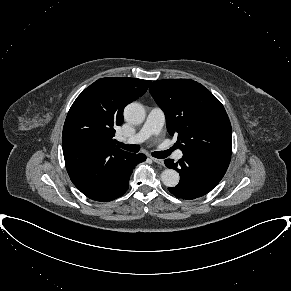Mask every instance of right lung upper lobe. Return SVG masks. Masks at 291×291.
I'll list each match as a JSON object with an SVG mask.
<instances>
[{"label": "right lung upper lobe", "instance_id": "obj_1", "mask_svg": "<svg viewBox=\"0 0 291 291\" xmlns=\"http://www.w3.org/2000/svg\"><path fill=\"white\" fill-rule=\"evenodd\" d=\"M151 81L101 78L74 101L65 120L62 146L67 172L84 194L94 192L113 166L130 153L116 147L114 128L123 123L125 106L142 96Z\"/></svg>", "mask_w": 291, "mask_h": 291}]
</instances>
